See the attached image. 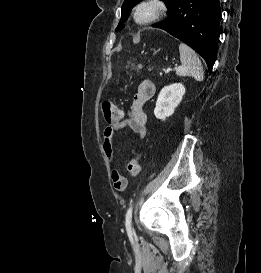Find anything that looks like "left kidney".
Instances as JSON below:
<instances>
[{
  "mask_svg": "<svg viewBox=\"0 0 261 273\" xmlns=\"http://www.w3.org/2000/svg\"><path fill=\"white\" fill-rule=\"evenodd\" d=\"M185 87L181 83H174L164 87L157 98L154 115L156 118L165 120L174 113L175 108L180 104Z\"/></svg>",
  "mask_w": 261,
  "mask_h": 273,
  "instance_id": "5707ae66",
  "label": "left kidney"
}]
</instances>
